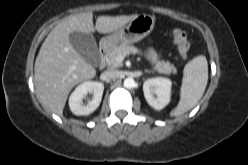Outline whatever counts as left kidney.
I'll return each mask as SVG.
<instances>
[{
  "mask_svg": "<svg viewBox=\"0 0 248 165\" xmlns=\"http://www.w3.org/2000/svg\"><path fill=\"white\" fill-rule=\"evenodd\" d=\"M172 82L165 77L149 78L143 84L147 103L156 110L163 109L171 98Z\"/></svg>",
  "mask_w": 248,
  "mask_h": 165,
  "instance_id": "obj_1",
  "label": "left kidney"
}]
</instances>
